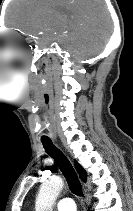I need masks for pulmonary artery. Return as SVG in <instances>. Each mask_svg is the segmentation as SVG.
<instances>
[{"mask_svg":"<svg viewBox=\"0 0 133 211\" xmlns=\"http://www.w3.org/2000/svg\"><path fill=\"white\" fill-rule=\"evenodd\" d=\"M56 208L58 211H76L75 203L69 197L60 199L56 204Z\"/></svg>","mask_w":133,"mask_h":211,"instance_id":"1","label":"pulmonary artery"}]
</instances>
